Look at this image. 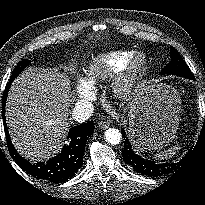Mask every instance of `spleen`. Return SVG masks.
<instances>
[{"label": "spleen", "instance_id": "obj_1", "mask_svg": "<svg viewBox=\"0 0 205 205\" xmlns=\"http://www.w3.org/2000/svg\"><path fill=\"white\" fill-rule=\"evenodd\" d=\"M177 151H178V147L174 146V147H171L170 149H168L163 154L156 155L155 158H170L173 155H175L177 153Z\"/></svg>", "mask_w": 205, "mask_h": 205}]
</instances>
